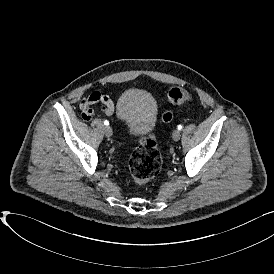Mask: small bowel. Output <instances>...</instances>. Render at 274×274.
Wrapping results in <instances>:
<instances>
[{
	"label": "small bowel",
	"instance_id": "small-bowel-1",
	"mask_svg": "<svg viewBox=\"0 0 274 274\" xmlns=\"http://www.w3.org/2000/svg\"><path fill=\"white\" fill-rule=\"evenodd\" d=\"M95 104H101L102 112L105 115H112L114 112V103L110 97L102 91L96 90L83 98L79 103V110L84 121L88 122L93 118L92 105Z\"/></svg>",
	"mask_w": 274,
	"mask_h": 274
}]
</instances>
